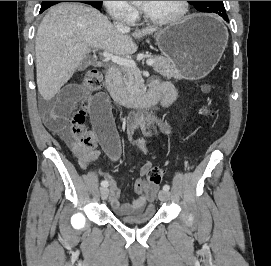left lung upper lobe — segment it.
<instances>
[{
  "label": "left lung upper lobe",
  "mask_w": 271,
  "mask_h": 266,
  "mask_svg": "<svg viewBox=\"0 0 271 266\" xmlns=\"http://www.w3.org/2000/svg\"><path fill=\"white\" fill-rule=\"evenodd\" d=\"M201 12L222 14L226 13L223 1H189Z\"/></svg>",
  "instance_id": "left-lung-upper-lobe-1"
}]
</instances>
